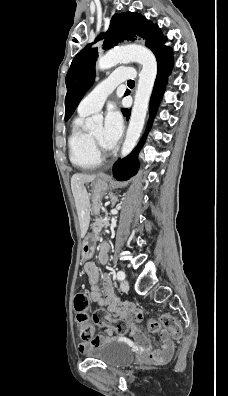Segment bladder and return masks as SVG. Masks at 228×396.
Here are the masks:
<instances>
[{
  "instance_id": "31cf9c89",
  "label": "bladder",
  "mask_w": 228,
  "mask_h": 396,
  "mask_svg": "<svg viewBox=\"0 0 228 396\" xmlns=\"http://www.w3.org/2000/svg\"><path fill=\"white\" fill-rule=\"evenodd\" d=\"M86 357L97 359L111 367H124L134 359L131 348L119 341H107L90 346L83 353Z\"/></svg>"
}]
</instances>
